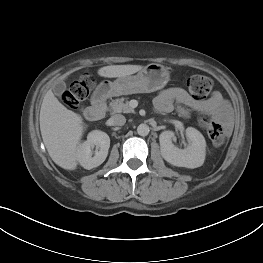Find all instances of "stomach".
Instances as JSON below:
<instances>
[{"instance_id":"1","label":"stomach","mask_w":263,"mask_h":263,"mask_svg":"<svg viewBox=\"0 0 263 263\" xmlns=\"http://www.w3.org/2000/svg\"><path fill=\"white\" fill-rule=\"evenodd\" d=\"M169 81V72L161 64L151 63L136 75L118 77L116 80L102 81L96 88L99 97H112L135 93H150L162 89Z\"/></svg>"}]
</instances>
